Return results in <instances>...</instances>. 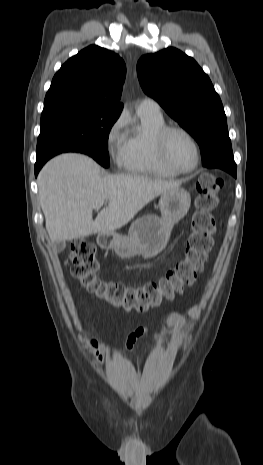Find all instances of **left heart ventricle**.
Instances as JSON below:
<instances>
[{
	"label": "left heart ventricle",
	"instance_id": "b2bd125f",
	"mask_svg": "<svg viewBox=\"0 0 263 465\" xmlns=\"http://www.w3.org/2000/svg\"><path fill=\"white\" fill-rule=\"evenodd\" d=\"M167 154L171 163L181 169L191 168L196 158L192 142L180 133L169 137Z\"/></svg>",
	"mask_w": 263,
	"mask_h": 465
}]
</instances>
